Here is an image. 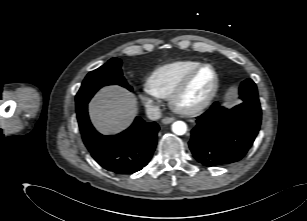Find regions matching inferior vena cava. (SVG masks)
<instances>
[{
    "label": "inferior vena cava",
    "instance_id": "1",
    "mask_svg": "<svg viewBox=\"0 0 307 221\" xmlns=\"http://www.w3.org/2000/svg\"><path fill=\"white\" fill-rule=\"evenodd\" d=\"M147 117L150 120H158L161 117V111L157 106H150L146 109Z\"/></svg>",
    "mask_w": 307,
    "mask_h": 221
}]
</instances>
